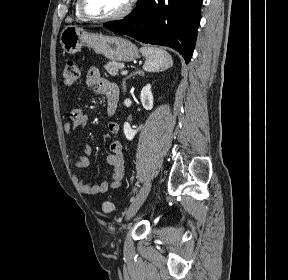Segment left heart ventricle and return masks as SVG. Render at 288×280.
<instances>
[{
    "instance_id": "left-heart-ventricle-1",
    "label": "left heart ventricle",
    "mask_w": 288,
    "mask_h": 280,
    "mask_svg": "<svg viewBox=\"0 0 288 280\" xmlns=\"http://www.w3.org/2000/svg\"><path fill=\"white\" fill-rule=\"evenodd\" d=\"M127 0H85L89 13L96 16H109L119 12Z\"/></svg>"
}]
</instances>
